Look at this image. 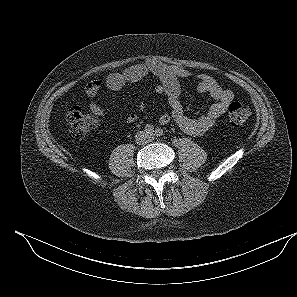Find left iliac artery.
I'll list each match as a JSON object with an SVG mask.
<instances>
[{
    "label": "left iliac artery",
    "mask_w": 297,
    "mask_h": 297,
    "mask_svg": "<svg viewBox=\"0 0 297 297\" xmlns=\"http://www.w3.org/2000/svg\"><path fill=\"white\" fill-rule=\"evenodd\" d=\"M155 135H156L157 137L162 136V135H163V130H162L161 128H156V129H155Z\"/></svg>",
    "instance_id": "left-iliac-artery-1"
}]
</instances>
